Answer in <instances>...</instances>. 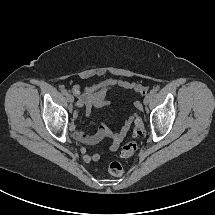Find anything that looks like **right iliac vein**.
<instances>
[{"instance_id": "63e3f726", "label": "right iliac vein", "mask_w": 215, "mask_h": 215, "mask_svg": "<svg viewBox=\"0 0 215 215\" xmlns=\"http://www.w3.org/2000/svg\"><path fill=\"white\" fill-rule=\"evenodd\" d=\"M67 100L69 103H73L74 102V97L71 94L67 95Z\"/></svg>"}]
</instances>
